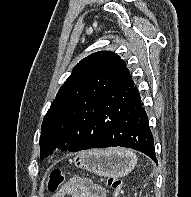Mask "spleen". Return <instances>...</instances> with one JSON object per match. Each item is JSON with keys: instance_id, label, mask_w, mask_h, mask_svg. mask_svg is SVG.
I'll return each mask as SVG.
<instances>
[{"instance_id": "3e777b00", "label": "spleen", "mask_w": 191, "mask_h": 197, "mask_svg": "<svg viewBox=\"0 0 191 197\" xmlns=\"http://www.w3.org/2000/svg\"><path fill=\"white\" fill-rule=\"evenodd\" d=\"M121 153H123L125 156L130 157L135 163L137 162V157L131 150L127 149H120L119 150Z\"/></svg>"}]
</instances>
